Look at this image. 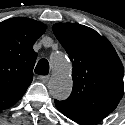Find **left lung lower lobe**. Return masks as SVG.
Masks as SVG:
<instances>
[{"label": "left lung lower lobe", "instance_id": "left-lung-lower-lobe-1", "mask_svg": "<svg viewBox=\"0 0 125 125\" xmlns=\"http://www.w3.org/2000/svg\"><path fill=\"white\" fill-rule=\"evenodd\" d=\"M64 115L75 122L85 125H91L100 122L105 117H107L109 113H101L95 115H74V114H64Z\"/></svg>", "mask_w": 125, "mask_h": 125}]
</instances>
